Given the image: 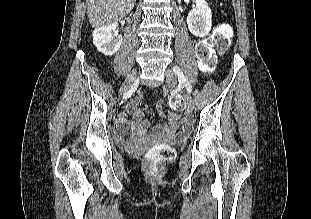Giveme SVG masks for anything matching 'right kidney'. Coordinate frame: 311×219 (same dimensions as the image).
Returning a JSON list of instances; mask_svg holds the SVG:
<instances>
[{
  "label": "right kidney",
  "instance_id": "1",
  "mask_svg": "<svg viewBox=\"0 0 311 219\" xmlns=\"http://www.w3.org/2000/svg\"><path fill=\"white\" fill-rule=\"evenodd\" d=\"M117 23H111L93 31V43L97 50L104 55L115 54L122 44V37L113 34Z\"/></svg>",
  "mask_w": 311,
  "mask_h": 219
}]
</instances>
